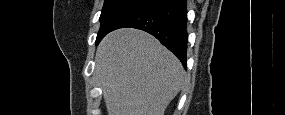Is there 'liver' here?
<instances>
[{
    "label": "liver",
    "mask_w": 285,
    "mask_h": 115,
    "mask_svg": "<svg viewBox=\"0 0 285 115\" xmlns=\"http://www.w3.org/2000/svg\"><path fill=\"white\" fill-rule=\"evenodd\" d=\"M95 63L108 115H164L183 87L181 62L141 30L109 33L97 48Z\"/></svg>",
    "instance_id": "liver-1"
}]
</instances>
